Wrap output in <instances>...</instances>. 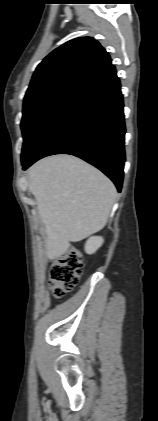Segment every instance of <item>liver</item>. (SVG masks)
Segmentation results:
<instances>
[{
  "label": "liver",
  "instance_id": "liver-1",
  "mask_svg": "<svg viewBox=\"0 0 158 421\" xmlns=\"http://www.w3.org/2000/svg\"><path fill=\"white\" fill-rule=\"evenodd\" d=\"M29 189L45 226L49 259L61 257L70 242L101 230L116 199L109 178L69 155L44 158L28 171Z\"/></svg>",
  "mask_w": 158,
  "mask_h": 421
}]
</instances>
